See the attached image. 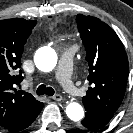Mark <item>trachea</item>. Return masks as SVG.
Listing matches in <instances>:
<instances>
[{"label": "trachea", "mask_w": 133, "mask_h": 133, "mask_svg": "<svg viewBox=\"0 0 133 133\" xmlns=\"http://www.w3.org/2000/svg\"><path fill=\"white\" fill-rule=\"evenodd\" d=\"M55 93L54 89L51 87H46V85L42 84L37 88V95H48L53 96Z\"/></svg>", "instance_id": "obj_1"}]
</instances>
